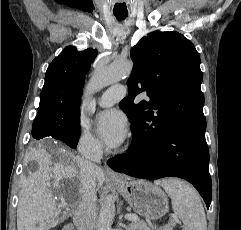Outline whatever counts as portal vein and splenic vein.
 Instances as JSON below:
<instances>
[{
	"label": "portal vein and splenic vein",
	"mask_w": 241,
	"mask_h": 230,
	"mask_svg": "<svg viewBox=\"0 0 241 230\" xmlns=\"http://www.w3.org/2000/svg\"><path fill=\"white\" fill-rule=\"evenodd\" d=\"M125 219L130 220V221H137V220H139V218L136 215H133V214L125 215Z\"/></svg>",
	"instance_id": "1"
}]
</instances>
